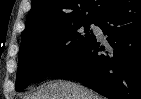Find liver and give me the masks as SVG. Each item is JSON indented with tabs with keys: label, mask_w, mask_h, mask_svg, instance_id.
<instances>
[{
	"label": "liver",
	"mask_w": 141,
	"mask_h": 99,
	"mask_svg": "<svg viewBox=\"0 0 141 99\" xmlns=\"http://www.w3.org/2000/svg\"><path fill=\"white\" fill-rule=\"evenodd\" d=\"M25 99H104L94 91L73 82L58 80L41 86Z\"/></svg>",
	"instance_id": "liver-1"
}]
</instances>
